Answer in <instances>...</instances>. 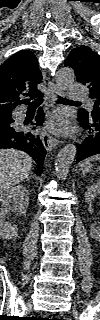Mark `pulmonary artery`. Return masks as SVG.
Masks as SVG:
<instances>
[{
	"mask_svg": "<svg viewBox=\"0 0 100 320\" xmlns=\"http://www.w3.org/2000/svg\"><path fill=\"white\" fill-rule=\"evenodd\" d=\"M70 98L72 100H88L89 94L86 88L79 84H73L71 87ZM91 104V102H89Z\"/></svg>",
	"mask_w": 100,
	"mask_h": 320,
	"instance_id": "1",
	"label": "pulmonary artery"
}]
</instances>
